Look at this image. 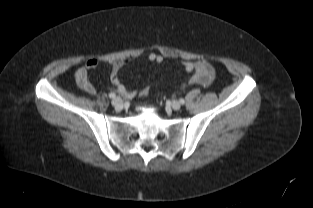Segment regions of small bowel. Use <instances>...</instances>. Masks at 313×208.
Wrapping results in <instances>:
<instances>
[{"instance_id":"c3829d8e","label":"small bowel","mask_w":313,"mask_h":208,"mask_svg":"<svg viewBox=\"0 0 313 208\" xmlns=\"http://www.w3.org/2000/svg\"><path fill=\"white\" fill-rule=\"evenodd\" d=\"M148 60L155 63H161L163 56L150 53ZM125 60H116L112 63L110 74L111 83L114 85L116 91L127 99L135 97L136 92L128 90L121 82L119 71L125 65ZM99 61L95 58L88 59L84 66L77 69L75 73V81L77 86L87 94L93 95L96 89L89 79V72L98 67ZM185 71L192 73L189 82L192 84L207 85L211 82L214 76V69L209 62L204 59L196 61H185L183 63Z\"/></svg>"}]
</instances>
